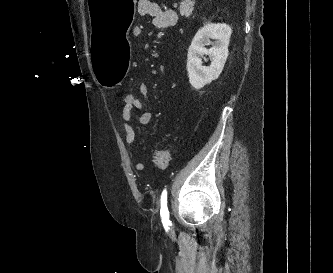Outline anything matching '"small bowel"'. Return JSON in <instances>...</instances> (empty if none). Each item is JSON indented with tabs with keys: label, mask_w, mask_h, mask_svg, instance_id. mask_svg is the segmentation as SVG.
I'll return each mask as SVG.
<instances>
[{
	"label": "small bowel",
	"mask_w": 333,
	"mask_h": 273,
	"mask_svg": "<svg viewBox=\"0 0 333 273\" xmlns=\"http://www.w3.org/2000/svg\"><path fill=\"white\" fill-rule=\"evenodd\" d=\"M138 13L141 16L150 17L155 27L160 29H167L175 26L177 23V14L173 10L163 9L158 3L151 0H140L137 6ZM134 35L140 36L142 28L140 26L134 27ZM140 96H135L136 104L134 109L143 110L139 115L133 113L134 109L122 108V123L121 127L125 133V142L131 145L136 137L133 123L138 125H146L152 120V112L147 108V101L149 96V88L146 84L142 83L139 86ZM132 94V93H128ZM130 157L133 158V153L130 151ZM136 171H143L145 165L143 162H136L134 164Z\"/></svg>",
	"instance_id": "c3829d8e"
}]
</instances>
